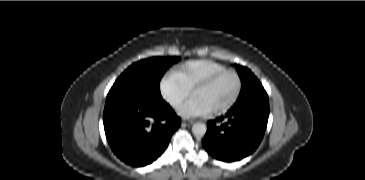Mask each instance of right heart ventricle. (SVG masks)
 <instances>
[{"label": "right heart ventricle", "mask_w": 365, "mask_h": 180, "mask_svg": "<svg viewBox=\"0 0 365 180\" xmlns=\"http://www.w3.org/2000/svg\"><path fill=\"white\" fill-rule=\"evenodd\" d=\"M227 68L219 63L211 61H199L189 64L179 72L182 86L191 92L196 86L210 77L226 70Z\"/></svg>", "instance_id": "right-heart-ventricle-1"}]
</instances>
